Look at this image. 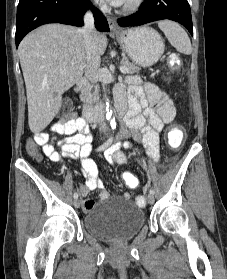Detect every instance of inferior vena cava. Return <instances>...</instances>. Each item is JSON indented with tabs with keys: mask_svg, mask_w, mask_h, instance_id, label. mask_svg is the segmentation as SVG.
<instances>
[{
	"mask_svg": "<svg viewBox=\"0 0 227 279\" xmlns=\"http://www.w3.org/2000/svg\"><path fill=\"white\" fill-rule=\"evenodd\" d=\"M83 33L85 38V76L91 82H96L97 72L100 66V53L95 37L94 18L90 11L84 15Z\"/></svg>",
	"mask_w": 227,
	"mask_h": 279,
	"instance_id": "obj_1",
	"label": "inferior vena cava"
}]
</instances>
